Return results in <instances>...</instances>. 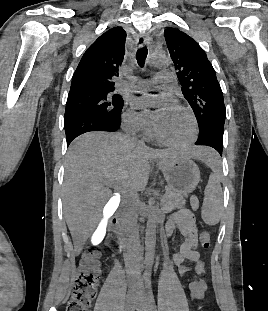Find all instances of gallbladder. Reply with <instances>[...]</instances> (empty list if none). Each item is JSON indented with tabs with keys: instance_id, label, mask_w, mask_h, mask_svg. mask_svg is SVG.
<instances>
[{
	"instance_id": "gallbladder-1",
	"label": "gallbladder",
	"mask_w": 268,
	"mask_h": 311,
	"mask_svg": "<svg viewBox=\"0 0 268 311\" xmlns=\"http://www.w3.org/2000/svg\"><path fill=\"white\" fill-rule=\"evenodd\" d=\"M122 201L121 199H107V201L104 204L103 207V218L109 219L110 216H113V214L116 212V209L121 206ZM102 220L101 227H96L95 232L93 233L92 240L97 245L101 239L106 238V234L108 233V228L104 225H106L105 220Z\"/></svg>"
}]
</instances>
